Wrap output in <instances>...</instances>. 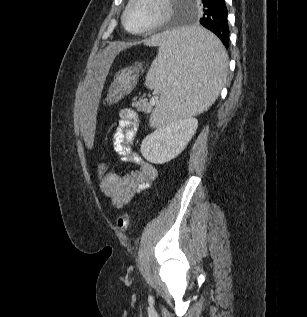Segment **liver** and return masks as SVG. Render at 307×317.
Instances as JSON below:
<instances>
[{
    "label": "liver",
    "instance_id": "liver-1",
    "mask_svg": "<svg viewBox=\"0 0 307 317\" xmlns=\"http://www.w3.org/2000/svg\"><path fill=\"white\" fill-rule=\"evenodd\" d=\"M129 47L126 43H113L109 45L101 55H97L94 62L91 64V69L87 75L85 85L83 86L84 93H81L80 98L84 101H78L77 106L80 112L77 113V118L80 119V141L81 142H98L99 136L94 135L95 122L94 116L99 111L98 104L102 100L104 92L103 81L108 78L111 66L116 58L119 57V51ZM162 99V95H161ZM160 99V101H161ZM85 154H92V147H85Z\"/></svg>",
    "mask_w": 307,
    "mask_h": 317
}]
</instances>
